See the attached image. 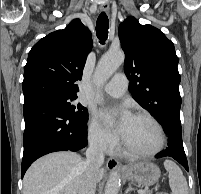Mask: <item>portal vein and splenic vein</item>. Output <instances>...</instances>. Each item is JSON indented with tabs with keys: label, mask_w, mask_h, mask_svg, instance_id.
<instances>
[{
	"label": "portal vein and splenic vein",
	"mask_w": 201,
	"mask_h": 194,
	"mask_svg": "<svg viewBox=\"0 0 201 194\" xmlns=\"http://www.w3.org/2000/svg\"><path fill=\"white\" fill-rule=\"evenodd\" d=\"M138 194H145V190L143 189L138 190Z\"/></svg>",
	"instance_id": "18ae733b"
}]
</instances>
